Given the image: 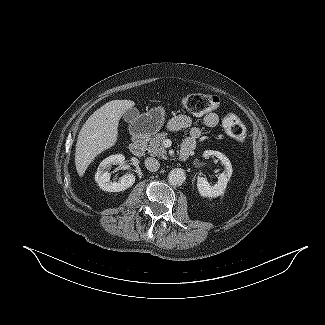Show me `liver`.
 Listing matches in <instances>:
<instances>
[{
  "label": "liver",
  "mask_w": 325,
  "mask_h": 325,
  "mask_svg": "<svg viewBox=\"0 0 325 325\" xmlns=\"http://www.w3.org/2000/svg\"><path fill=\"white\" fill-rule=\"evenodd\" d=\"M134 105L131 100H112L86 120L79 132L75 149V165L80 177L97 155L116 144L119 121Z\"/></svg>",
  "instance_id": "liver-1"
}]
</instances>
